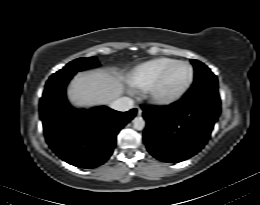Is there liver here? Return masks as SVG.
<instances>
[{"instance_id":"liver-1","label":"liver","mask_w":260,"mask_h":205,"mask_svg":"<svg viewBox=\"0 0 260 205\" xmlns=\"http://www.w3.org/2000/svg\"><path fill=\"white\" fill-rule=\"evenodd\" d=\"M124 91L122 74L94 70L76 75L68 87L67 95L73 106L89 108L109 105L118 99Z\"/></svg>"}]
</instances>
